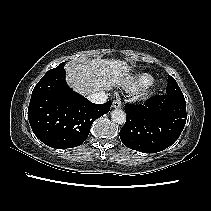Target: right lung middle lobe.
Instances as JSON below:
<instances>
[{"label": "right lung middle lobe", "mask_w": 211, "mask_h": 211, "mask_svg": "<svg viewBox=\"0 0 211 211\" xmlns=\"http://www.w3.org/2000/svg\"><path fill=\"white\" fill-rule=\"evenodd\" d=\"M64 64H65V62H62V63H61L59 66H57L56 68L49 70L43 77H46V76L55 74V73L60 72V71H63V70H64Z\"/></svg>", "instance_id": "dd1d6c3e"}]
</instances>
